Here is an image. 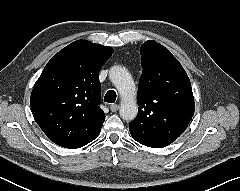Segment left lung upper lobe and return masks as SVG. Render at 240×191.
<instances>
[{"label": "left lung upper lobe", "instance_id": "1", "mask_svg": "<svg viewBox=\"0 0 240 191\" xmlns=\"http://www.w3.org/2000/svg\"><path fill=\"white\" fill-rule=\"evenodd\" d=\"M141 56L139 113L129 129L141 144L161 148L174 142L193 117L191 83L179 61L156 41H146Z\"/></svg>", "mask_w": 240, "mask_h": 191}]
</instances>
